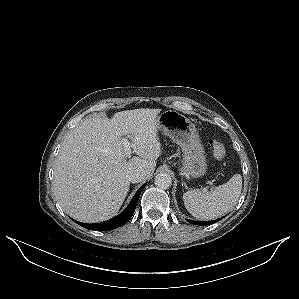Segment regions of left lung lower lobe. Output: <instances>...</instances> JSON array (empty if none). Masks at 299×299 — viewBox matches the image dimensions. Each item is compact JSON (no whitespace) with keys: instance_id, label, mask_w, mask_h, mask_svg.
I'll return each instance as SVG.
<instances>
[{"instance_id":"left-lung-lower-lobe-1","label":"left lung lower lobe","mask_w":299,"mask_h":299,"mask_svg":"<svg viewBox=\"0 0 299 299\" xmlns=\"http://www.w3.org/2000/svg\"><path fill=\"white\" fill-rule=\"evenodd\" d=\"M219 220H221V218L217 219V220H213V221H191V220H188V221L190 223L196 224V225H210V224L216 223Z\"/></svg>"}]
</instances>
